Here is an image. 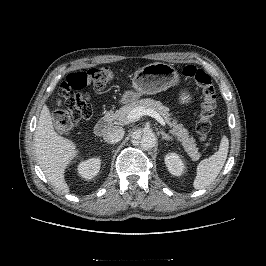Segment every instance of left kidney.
<instances>
[{
  "label": "left kidney",
  "mask_w": 266,
  "mask_h": 266,
  "mask_svg": "<svg viewBox=\"0 0 266 266\" xmlns=\"http://www.w3.org/2000/svg\"><path fill=\"white\" fill-rule=\"evenodd\" d=\"M165 164L172 175L180 176L184 172V163L180 159V157L175 153H170L166 155Z\"/></svg>",
  "instance_id": "left-kidney-1"
}]
</instances>
